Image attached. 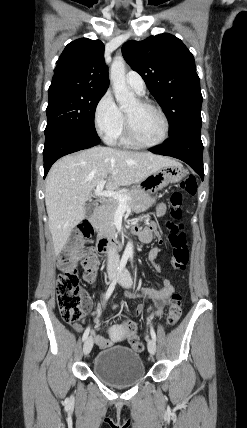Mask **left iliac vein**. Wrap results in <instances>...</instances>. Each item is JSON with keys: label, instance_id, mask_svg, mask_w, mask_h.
Instances as JSON below:
<instances>
[{"label": "left iliac vein", "instance_id": "obj_1", "mask_svg": "<svg viewBox=\"0 0 247 428\" xmlns=\"http://www.w3.org/2000/svg\"><path fill=\"white\" fill-rule=\"evenodd\" d=\"M119 284L124 288H130L132 285V279L128 270H124L123 274L119 279ZM148 351L151 355L156 353V342L153 339L148 340Z\"/></svg>", "mask_w": 247, "mask_h": 428}]
</instances>
